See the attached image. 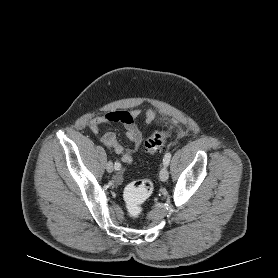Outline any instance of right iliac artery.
Returning <instances> with one entry per match:
<instances>
[{
  "mask_svg": "<svg viewBox=\"0 0 278 278\" xmlns=\"http://www.w3.org/2000/svg\"><path fill=\"white\" fill-rule=\"evenodd\" d=\"M114 168L115 170H120L121 164L119 162H115Z\"/></svg>",
  "mask_w": 278,
  "mask_h": 278,
  "instance_id": "1",
  "label": "right iliac artery"
}]
</instances>
